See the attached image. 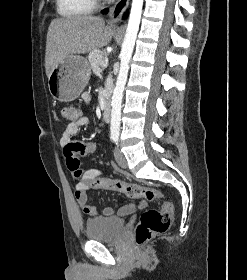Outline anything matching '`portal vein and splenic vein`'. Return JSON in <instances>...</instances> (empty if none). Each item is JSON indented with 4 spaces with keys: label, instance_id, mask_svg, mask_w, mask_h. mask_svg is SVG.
<instances>
[{
    "label": "portal vein and splenic vein",
    "instance_id": "1",
    "mask_svg": "<svg viewBox=\"0 0 247 280\" xmlns=\"http://www.w3.org/2000/svg\"><path fill=\"white\" fill-rule=\"evenodd\" d=\"M102 66H103V67L106 66V62H103V63H102Z\"/></svg>",
    "mask_w": 247,
    "mask_h": 280
}]
</instances>
